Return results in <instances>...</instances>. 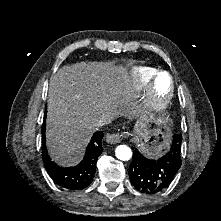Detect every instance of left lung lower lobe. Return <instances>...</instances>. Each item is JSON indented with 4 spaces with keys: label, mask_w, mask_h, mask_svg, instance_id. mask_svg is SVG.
Listing matches in <instances>:
<instances>
[{
    "label": "left lung lower lobe",
    "mask_w": 221,
    "mask_h": 221,
    "mask_svg": "<svg viewBox=\"0 0 221 221\" xmlns=\"http://www.w3.org/2000/svg\"><path fill=\"white\" fill-rule=\"evenodd\" d=\"M182 136L175 135L167 153L157 160L148 159L138 150L133 151V160L128 174L136 190L154 194L167 188L181 166Z\"/></svg>",
    "instance_id": "0a47b994"
}]
</instances>
